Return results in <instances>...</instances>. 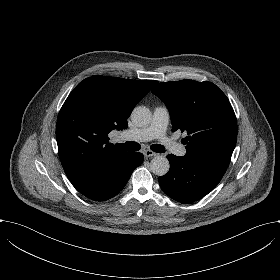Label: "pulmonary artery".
Masks as SVG:
<instances>
[{
	"label": "pulmonary artery",
	"mask_w": 280,
	"mask_h": 280,
	"mask_svg": "<svg viewBox=\"0 0 280 280\" xmlns=\"http://www.w3.org/2000/svg\"><path fill=\"white\" fill-rule=\"evenodd\" d=\"M170 114L166 106H158L154 109L149 126L128 130L127 133L141 141L158 139L168 150L179 157H184L187 153L186 147L182 144L171 141L167 136V127Z\"/></svg>",
	"instance_id": "1"
}]
</instances>
